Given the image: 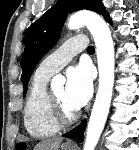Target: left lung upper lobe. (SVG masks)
Listing matches in <instances>:
<instances>
[{
    "label": "left lung upper lobe",
    "instance_id": "1",
    "mask_svg": "<svg viewBox=\"0 0 139 150\" xmlns=\"http://www.w3.org/2000/svg\"><path fill=\"white\" fill-rule=\"evenodd\" d=\"M81 9L95 11L104 17L107 15L101 0H62L28 28L21 62L24 96L35 66L59 39L67 14Z\"/></svg>",
    "mask_w": 139,
    "mask_h": 150
}]
</instances>
